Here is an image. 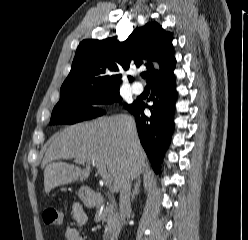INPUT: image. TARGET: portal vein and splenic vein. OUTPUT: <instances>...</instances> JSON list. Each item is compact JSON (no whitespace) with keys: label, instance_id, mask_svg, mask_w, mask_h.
I'll use <instances>...</instances> for the list:
<instances>
[{"label":"portal vein and splenic vein","instance_id":"1","mask_svg":"<svg viewBox=\"0 0 248 240\" xmlns=\"http://www.w3.org/2000/svg\"><path fill=\"white\" fill-rule=\"evenodd\" d=\"M95 165H96L98 172H99L100 176L102 177L105 185H110L113 181L112 175L109 172H107L105 166L98 164V163H96Z\"/></svg>","mask_w":248,"mask_h":240}]
</instances>
